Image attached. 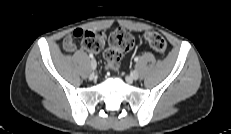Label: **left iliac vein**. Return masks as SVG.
Here are the masks:
<instances>
[{
	"label": "left iliac vein",
	"instance_id": "left-iliac-vein-1",
	"mask_svg": "<svg viewBox=\"0 0 231 134\" xmlns=\"http://www.w3.org/2000/svg\"><path fill=\"white\" fill-rule=\"evenodd\" d=\"M129 78L131 79V80H137L138 78H139V73H138V71L137 70H134L131 74H130V76H129Z\"/></svg>",
	"mask_w": 231,
	"mask_h": 134
}]
</instances>
